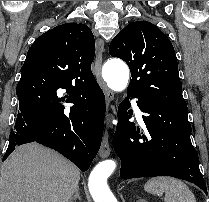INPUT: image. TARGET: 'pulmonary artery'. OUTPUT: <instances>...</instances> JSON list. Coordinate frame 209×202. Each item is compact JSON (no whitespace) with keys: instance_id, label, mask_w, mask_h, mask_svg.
Wrapping results in <instances>:
<instances>
[{"instance_id":"obj_1","label":"pulmonary artery","mask_w":209,"mask_h":202,"mask_svg":"<svg viewBox=\"0 0 209 202\" xmlns=\"http://www.w3.org/2000/svg\"><path fill=\"white\" fill-rule=\"evenodd\" d=\"M132 106L134 111L139 115L140 114L139 104L136 101H134Z\"/></svg>"}]
</instances>
